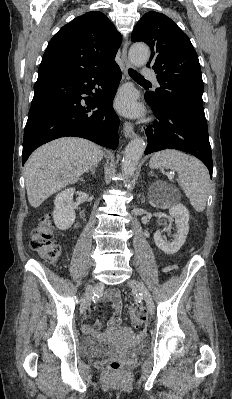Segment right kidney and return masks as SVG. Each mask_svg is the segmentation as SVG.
<instances>
[{"label": "right kidney", "instance_id": "right-kidney-1", "mask_svg": "<svg viewBox=\"0 0 232 399\" xmlns=\"http://www.w3.org/2000/svg\"><path fill=\"white\" fill-rule=\"evenodd\" d=\"M74 188L57 194L54 200L53 219L58 229H69L75 221L76 213L73 207Z\"/></svg>", "mask_w": 232, "mask_h": 399}]
</instances>
